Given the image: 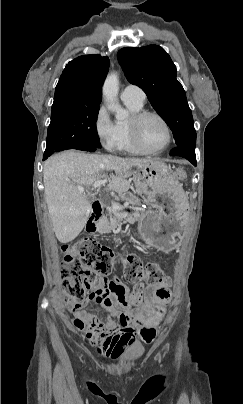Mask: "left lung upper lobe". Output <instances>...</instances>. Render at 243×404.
Segmentation results:
<instances>
[{
  "label": "left lung upper lobe",
  "mask_w": 243,
  "mask_h": 404,
  "mask_svg": "<svg viewBox=\"0 0 243 404\" xmlns=\"http://www.w3.org/2000/svg\"><path fill=\"white\" fill-rule=\"evenodd\" d=\"M127 80L139 86L173 132L176 146L195 147L196 131L186 93L176 79V66L157 45L119 50Z\"/></svg>",
  "instance_id": "obj_1"
}]
</instances>
